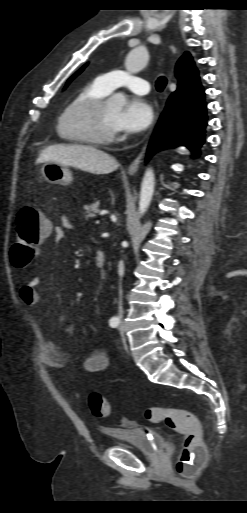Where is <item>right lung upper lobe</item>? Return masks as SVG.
<instances>
[{
  "mask_svg": "<svg viewBox=\"0 0 247 513\" xmlns=\"http://www.w3.org/2000/svg\"><path fill=\"white\" fill-rule=\"evenodd\" d=\"M175 75L178 79L177 90H190L200 84L198 71L189 52H185L178 60L175 67Z\"/></svg>",
  "mask_w": 247,
  "mask_h": 513,
  "instance_id": "cb5924a9",
  "label": "right lung upper lobe"
}]
</instances>
